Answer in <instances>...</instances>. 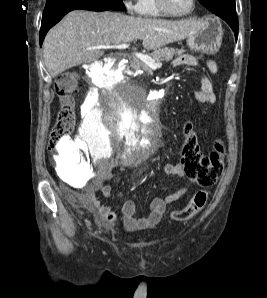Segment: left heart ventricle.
<instances>
[{
  "label": "left heart ventricle",
  "instance_id": "1",
  "mask_svg": "<svg viewBox=\"0 0 267 298\" xmlns=\"http://www.w3.org/2000/svg\"><path fill=\"white\" fill-rule=\"evenodd\" d=\"M168 8L177 14L187 12L191 7V0H166Z\"/></svg>",
  "mask_w": 267,
  "mask_h": 298
}]
</instances>
